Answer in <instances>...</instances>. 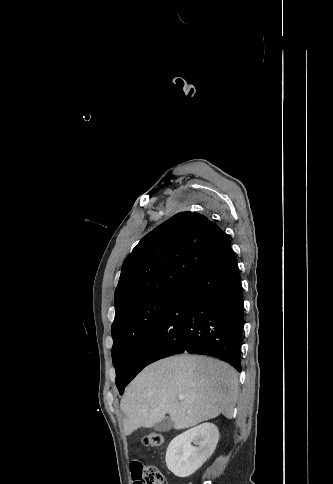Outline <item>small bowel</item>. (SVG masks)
<instances>
[{"instance_id": "1", "label": "small bowel", "mask_w": 333, "mask_h": 484, "mask_svg": "<svg viewBox=\"0 0 333 484\" xmlns=\"http://www.w3.org/2000/svg\"><path fill=\"white\" fill-rule=\"evenodd\" d=\"M142 465L143 464H142L141 460L138 459V458H134L130 463V468H131L134 484H137L138 473H139V470H140Z\"/></svg>"}]
</instances>
